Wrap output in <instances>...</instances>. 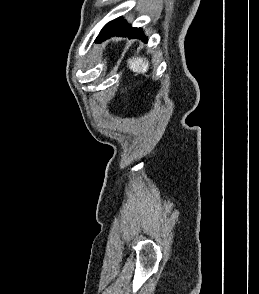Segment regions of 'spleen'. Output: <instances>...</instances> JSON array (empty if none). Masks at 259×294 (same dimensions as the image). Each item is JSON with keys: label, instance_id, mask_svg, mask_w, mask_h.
Here are the masks:
<instances>
[{"label": "spleen", "instance_id": "obj_1", "mask_svg": "<svg viewBox=\"0 0 259 294\" xmlns=\"http://www.w3.org/2000/svg\"><path fill=\"white\" fill-rule=\"evenodd\" d=\"M129 69L135 73H146L149 68V61L144 58H134L128 61Z\"/></svg>", "mask_w": 259, "mask_h": 294}]
</instances>
